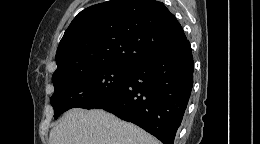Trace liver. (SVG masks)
Wrapping results in <instances>:
<instances>
[{
  "label": "liver",
  "mask_w": 260,
  "mask_h": 144,
  "mask_svg": "<svg viewBox=\"0 0 260 144\" xmlns=\"http://www.w3.org/2000/svg\"><path fill=\"white\" fill-rule=\"evenodd\" d=\"M49 144H160L132 123L101 109L67 111L49 135Z\"/></svg>",
  "instance_id": "1"
}]
</instances>
